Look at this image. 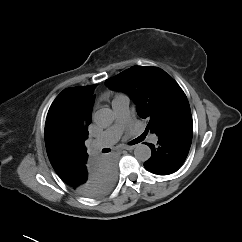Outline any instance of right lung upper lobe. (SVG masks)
Instances as JSON below:
<instances>
[{"mask_svg":"<svg viewBox=\"0 0 242 242\" xmlns=\"http://www.w3.org/2000/svg\"><path fill=\"white\" fill-rule=\"evenodd\" d=\"M96 85L68 88L54 100L45 123V145L56 173L63 177L87 154L84 141L94 103Z\"/></svg>","mask_w":242,"mask_h":242,"instance_id":"right-lung-upper-lobe-1","label":"right lung upper lobe"}]
</instances>
